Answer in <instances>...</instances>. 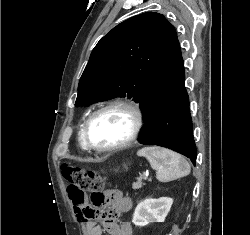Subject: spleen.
I'll list each match as a JSON object with an SVG mask.
<instances>
[{
  "label": "spleen",
  "mask_w": 250,
  "mask_h": 235,
  "mask_svg": "<svg viewBox=\"0 0 250 235\" xmlns=\"http://www.w3.org/2000/svg\"><path fill=\"white\" fill-rule=\"evenodd\" d=\"M138 156L145 157L151 167L156 170V177L161 182H168L190 173L189 163L178 153L150 146L142 148L137 152Z\"/></svg>",
  "instance_id": "3e777b00"
}]
</instances>
